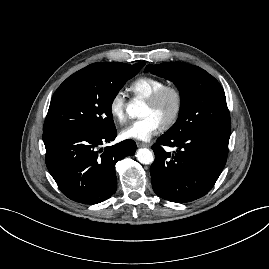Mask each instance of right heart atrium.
I'll return each mask as SVG.
<instances>
[{"label": "right heart atrium", "instance_id": "d8ad5b80", "mask_svg": "<svg viewBox=\"0 0 269 269\" xmlns=\"http://www.w3.org/2000/svg\"><path fill=\"white\" fill-rule=\"evenodd\" d=\"M109 113L117 123H124L126 119V97L122 90H117L110 98L108 104Z\"/></svg>", "mask_w": 269, "mask_h": 269}]
</instances>
